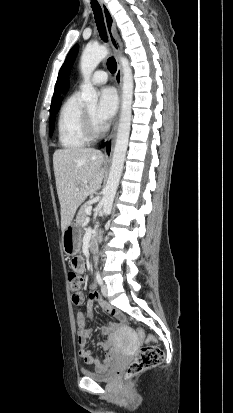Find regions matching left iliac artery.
<instances>
[{
	"instance_id": "left-iliac-artery-1",
	"label": "left iliac artery",
	"mask_w": 233,
	"mask_h": 413,
	"mask_svg": "<svg viewBox=\"0 0 233 413\" xmlns=\"http://www.w3.org/2000/svg\"><path fill=\"white\" fill-rule=\"evenodd\" d=\"M96 281L98 282V284H102V278L99 271H97L96 273Z\"/></svg>"
}]
</instances>
